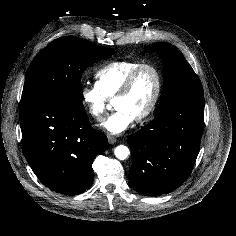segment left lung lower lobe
<instances>
[{"label":"left lung lower lobe","instance_id":"1","mask_svg":"<svg viewBox=\"0 0 236 236\" xmlns=\"http://www.w3.org/2000/svg\"><path fill=\"white\" fill-rule=\"evenodd\" d=\"M204 126V102L174 105L128 137L133 164L130 185L159 196L181 186L192 172Z\"/></svg>","mask_w":236,"mask_h":236}]
</instances>
